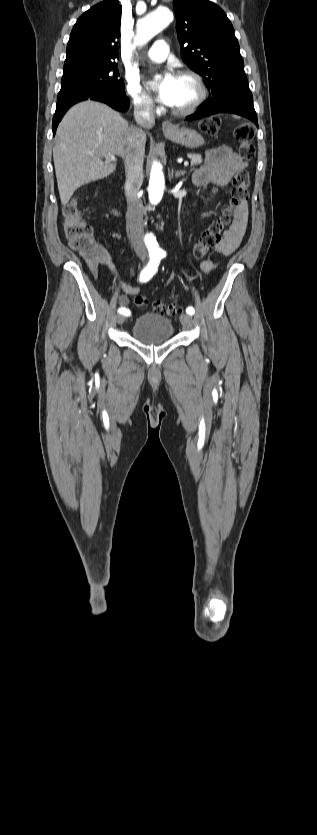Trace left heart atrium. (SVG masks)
<instances>
[{
	"label": "left heart atrium",
	"mask_w": 317,
	"mask_h": 835,
	"mask_svg": "<svg viewBox=\"0 0 317 835\" xmlns=\"http://www.w3.org/2000/svg\"><path fill=\"white\" fill-rule=\"evenodd\" d=\"M176 87L177 77L171 72H166L162 79L155 84L158 99L162 103L171 106L174 101Z\"/></svg>",
	"instance_id": "39dd6f15"
}]
</instances>
